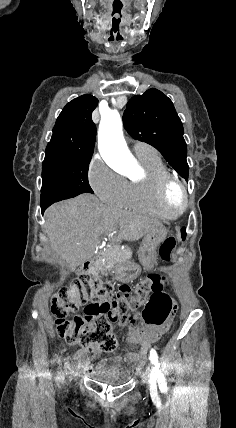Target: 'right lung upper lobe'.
<instances>
[{"instance_id":"cb5924a9","label":"right lung upper lobe","mask_w":236,"mask_h":428,"mask_svg":"<svg viewBox=\"0 0 236 428\" xmlns=\"http://www.w3.org/2000/svg\"><path fill=\"white\" fill-rule=\"evenodd\" d=\"M97 104L96 97L85 94L64 107L53 128L45 151L46 158L92 157L96 126L91 113Z\"/></svg>"}]
</instances>
